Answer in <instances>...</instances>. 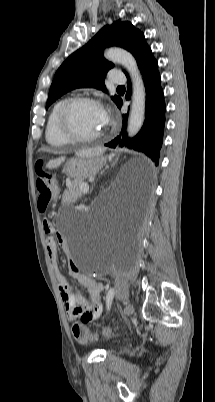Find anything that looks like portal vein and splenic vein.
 Wrapping results in <instances>:
<instances>
[{
    "instance_id": "18ae733b",
    "label": "portal vein and splenic vein",
    "mask_w": 215,
    "mask_h": 402,
    "mask_svg": "<svg viewBox=\"0 0 215 402\" xmlns=\"http://www.w3.org/2000/svg\"><path fill=\"white\" fill-rule=\"evenodd\" d=\"M80 188H81V190H82L84 193H87L88 190H89L88 185H83V184H81V185H80Z\"/></svg>"
}]
</instances>
